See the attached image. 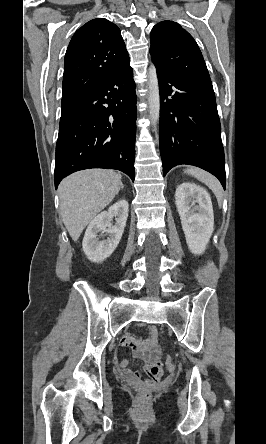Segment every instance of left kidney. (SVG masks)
<instances>
[{
  "label": "left kidney",
  "mask_w": 266,
  "mask_h": 444,
  "mask_svg": "<svg viewBox=\"0 0 266 444\" xmlns=\"http://www.w3.org/2000/svg\"><path fill=\"white\" fill-rule=\"evenodd\" d=\"M175 200L188 248L200 255L214 230L210 195L203 187L186 182L176 188Z\"/></svg>",
  "instance_id": "1"
}]
</instances>
